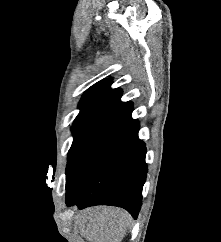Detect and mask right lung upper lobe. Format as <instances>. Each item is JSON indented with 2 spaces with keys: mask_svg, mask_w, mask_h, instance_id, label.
Returning <instances> with one entry per match:
<instances>
[{
  "mask_svg": "<svg viewBox=\"0 0 221 242\" xmlns=\"http://www.w3.org/2000/svg\"><path fill=\"white\" fill-rule=\"evenodd\" d=\"M111 84V79H104L84 93L79 103L80 113L74 121V126H103L133 106L131 102H121L122 91L118 88L111 89Z\"/></svg>",
  "mask_w": 221,
  "mask_h": 242,
  "instance_id": "cb5924a9",
  "label": "right lung upper lobe"
}]
</instances>
